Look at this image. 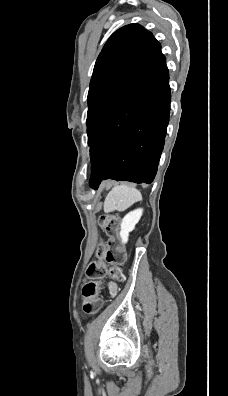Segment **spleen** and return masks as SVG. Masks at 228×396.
Returning <instances> with one entry per match:
<instances>
[{
	"instance_id": "obj_1",
	"label": "spleen",
	"mask_w": 228,
	"mask_h": 396,
	"mask_svg": "<svg viewBox=\"0 0 228 396\" xmlns=\"http://www.w3.org/2000/svg\"><path fill=\"white\" fill-rule=\"evenodd\" d=\"M142 199L139 190L127 185H117L107 194L104 201V211L109 213L112 211H125L135 202Z\"/></svg>"
}]
</instances>
